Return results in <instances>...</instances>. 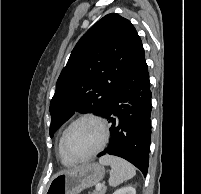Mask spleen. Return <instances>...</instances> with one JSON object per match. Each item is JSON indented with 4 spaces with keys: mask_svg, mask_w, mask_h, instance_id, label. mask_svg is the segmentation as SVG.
Instances as JSON below:
<instances>
[{
    "mask_svg": "<svg viewBox=\"0 0 201 194\" xmlns=\"http://www.w3.org/2000/svg\"><path fill=\"white\" fill-rule=\"evenodd\" d=\"M102 165H110L109 185L116 187L135 176V168L124 159L119 157L105 155L99 159Z\"/></svg>",
    "mask_w": 201,
    "mask_h": 194,
    "instance_id": "obj_1",
    "label": "spleen"
}]
</instances>
